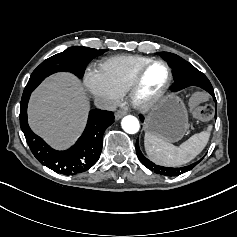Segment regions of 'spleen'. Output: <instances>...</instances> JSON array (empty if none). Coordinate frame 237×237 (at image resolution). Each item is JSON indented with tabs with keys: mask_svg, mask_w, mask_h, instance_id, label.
Returning <instances> with one entry per match:
<instances>
[{
	"mask_svg": "<svg viewBox=\"0 0 237 237\" xmlns=\"http://www.w3.org/2000/svg\"><path fill=\"white\" fill-rule=\"evenodd\" d=\"M208 138L207 132L195 134L177 147L156 134L147 132L145 134V149L149 158L155 163L176 167L189 162L200 153Z\"/></svg>",
	"mask_w": 237,
	"mask_h": 237,
	"instance_id": "spleen-1",
	"label": "spleen"
}]
</instances>
